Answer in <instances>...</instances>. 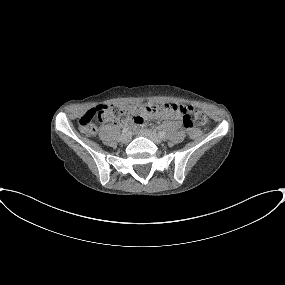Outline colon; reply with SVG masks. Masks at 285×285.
Here are the masks:
<instances>
[{"mask_svg":"<svg viewBox=\"0 0 285 285\" xmlns=\"http://www.w3.org/2000/svg\"><path fill=\"white\" fill-rule=\"evenodd\" d=\"M161 104H138L125 106L119 104H101L88 109L79 120V128L84 136H92L96 133L95 121L101 123L132 121L146 114H154L160 110ZM183 114L184 125L192 136L198 131L196 125H204L208 119L200 111L194 110L191 106H178Z\"/></svg>","mask_w":285,"mask_h":285,"instance_id":"5ec220e1","label":"colon"}]
</instances>
